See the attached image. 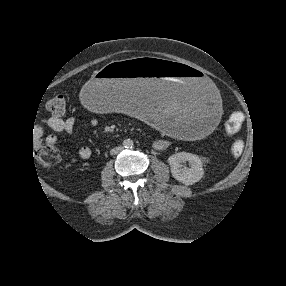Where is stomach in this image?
I'll return each mask as SVG.
<instances>
[{"instance_id":"0dacf381","label":"stomach","mask_w":286,"mask_h":286,"mask_svg":"<svg viewBox=\"0 0 286 286\" xmlns=\"http://www.w3.org/2000/svg\"><path fill=\"white\" fill-rule=\"evenodd\" d=\"M83 97L97 113L135 114L149 128L183 142L213 139L227 119L224 97L209 77L177 61L119 57L87 79Z\"/></svg>"}]
</instances>
